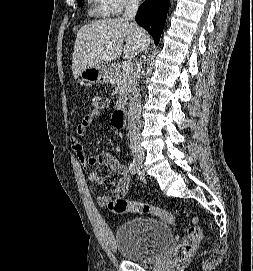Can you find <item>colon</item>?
<instances>
[{"instance_id": "5ec220e1", "label": "colon", "mask_w": 253, "mask_h": 271, "mask_svg": "<svg viewBox=\"0 0 253 271\" xmlns=\"http://www.w3.org/2000/svg\"><path fill=\"white\" fill-rule=\"evenodd\" d=\"M91 103L94 111L100 112L106 108L107 99L103 95L93 94L91 96ZM105 207L114 214L132 212L141 215H151L169 224H174L177 220L176 215L172 212L134 200L118 198L107 202ZM201 238L202 230L199 222L196 218H193L192 225L187 229L182 241L177 247L176 258L178 260L188 259L195 251Z\"/></svg>"}]
</instances>
